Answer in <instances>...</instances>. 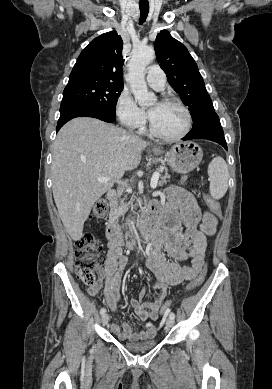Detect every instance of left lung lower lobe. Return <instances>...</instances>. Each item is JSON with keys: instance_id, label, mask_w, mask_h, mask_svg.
<instances>
[{"instance_id": "left-lung-lower-lobe-1", "label": "left lung lower lobe", "mask_w": 272, "mask_h": 389, "mask_svg": "<svg viewBox=\"0 0 272 389\" xmlns=\"http://www.w3.org/2000/svg\"><path fill=\"white\" fill-rule=\"evenodd\" d=\"M207 139L219 143L227 150V144L224 138V132L216 113L205 119L202 123L193 126L192 130L183 138V140Z\"/></svg>"}]
</instances>
